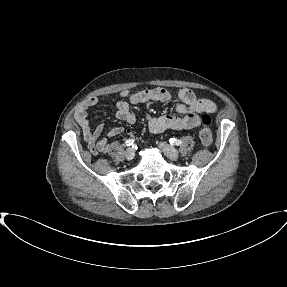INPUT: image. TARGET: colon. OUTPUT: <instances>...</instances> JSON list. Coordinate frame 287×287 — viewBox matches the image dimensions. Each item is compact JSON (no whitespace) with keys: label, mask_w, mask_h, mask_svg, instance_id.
<instances>
[{"label":"colon","mask_w":287,"mask_h":287,"mask_svg":"<svg viewBox=\"0 0 287 287\" xmlns=\"http://www.w3.org/2000/svg\"><path fill=\"white\" fill-rule=\"evenodd\" d=\"M211 118L208 114L201 116V129L199 132V139L203 146L209 147L212 144L213 137L210 130Z\"/></svg>","instance_id":"obj_1"}]
</instances>
